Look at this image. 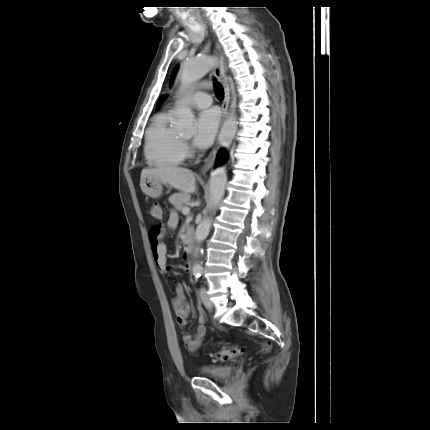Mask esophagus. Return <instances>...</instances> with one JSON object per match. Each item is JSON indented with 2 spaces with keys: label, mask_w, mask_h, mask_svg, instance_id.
<instances>
[{
  "label": "esophagus",
  "mask_w": 430,
  "mask_h": 430,
  "mask_svg": "<svg viewBox=\"0 0 430 430\" xmlns=\"http://www.w3.org/2000/svg\"><path fill=\"white\" fill-rule=\"evenodd\" d=\"M215 57L217 60V63L214 67L213 73L214 75L219 79V81L222 83L224 88V100L221 105L222 109V122L225 120V118L228 115V108L230 103V89L229 85L226 80L225 71L223 68V55L221 48L218 43L215 44ZM217 145L213 148L209 156L206 158L205 163L201 169V172L205 174L210 168L213 166L217 154Z\"/></svg>",
  "instance_id": "esophagus-1"
}]
</instances>
